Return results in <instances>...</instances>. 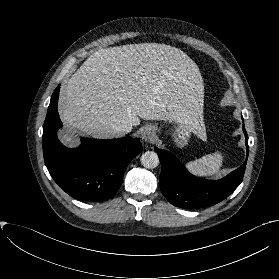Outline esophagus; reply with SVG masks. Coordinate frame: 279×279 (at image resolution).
<instances>
[{
    "instance_id": "34e87169",
    "label": "esophagus",
    "mask_w": 279,
    "mask_h": 279,
    "mask_svg": "<svg viewBox=\"0 0 279 279\" xmlns=\"http://www.w3.org/2000/svg\"><path fill=\"white\" fill-rule=\"evenodd\" d=\"M141 138L145 142H152L156 139V133L150 126H146L141 132Z\"/></svg>"
}]
</instances>
